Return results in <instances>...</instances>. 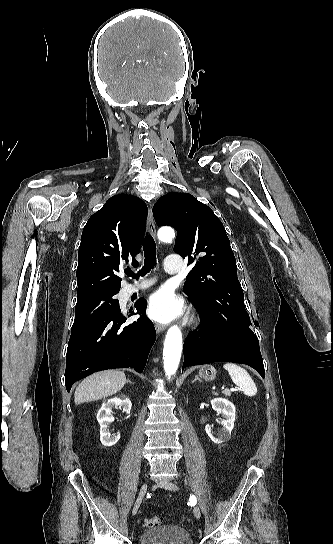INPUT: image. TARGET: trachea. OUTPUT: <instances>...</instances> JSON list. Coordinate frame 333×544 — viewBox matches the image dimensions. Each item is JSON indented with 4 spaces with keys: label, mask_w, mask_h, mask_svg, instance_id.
I'll return each mask as SVG.
<instances>
[{
    "label": "trachea",
    "mask_w": 333,
    "mask_h": 544,
    "mask_svg": "<svg viewBox=\"0 0 333 544\" xmlns=\"http://www.w3.org/2000/svg\"><path fill=\"white\" fill-rule=\"evenodd\" d=\"M143 250L145 256L144 266L138 271V274H134L129 269L125 271L128 276L133 277L134 279H138L139 276H144L156 265V245L152 236L147 235L145 237L143 242Z\"/></svg>",
    "instance_id": "trachea-1"
}]
</instances>
